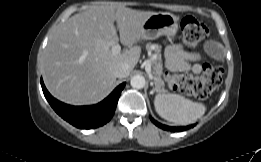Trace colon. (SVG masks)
Wrapping results in <instances>:
<instances>
[{"mask_svg":"<svg viewBox=\"0 0 261 162\" xmlns=\"http://www.w3.org/2000/svg\"><path fill=\"white\" fill-rule=\"evenodd\" d=\"M181 32L185 43L196 46L206 39L207 27L192 16L182 18ZM224 69L222 66L204 64L200 76L190 74L170 75L167 83L170 88L197 99H205L222 83Z\"/></svg>","mask_w":261,"mask_h":162,"instance_id":"5ec220e1","label":"colon"}]
</instances>
